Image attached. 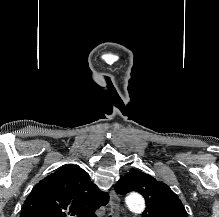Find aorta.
<instances>
[{
	"instance_id": "obj_1",
	"label": "aorta",
	"mask_w": 219,
	"mask_h": 217,
	"mask_svg": "<svg viewBox=\"0 0 219 217\" xmlns=\"http://www.w3.org/2000/svg\"><path fill=\"white\" fill-rule=\"evenodd\" d=\"M126 204L131 211L141 212L145 208V201L141 195H130L126 198Z\"/></svg>"
}]
</instances>
